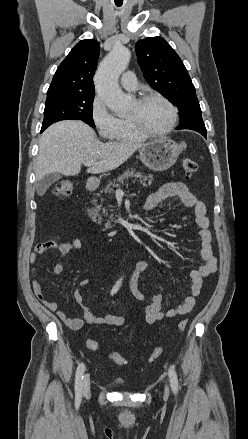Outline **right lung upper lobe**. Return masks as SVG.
Wrapping results in <instances>:
<instances>
[{
	"mask_svg": "<svg viewBox=\"0 0 248 439\" xmlns=\"http://www.w3.org/2000/svg\"><path fill=\"white\" fill-rule=\"evenodd\" d=\"M96 40H82L63 60L53 77L47 96L61 93L93 92V74L99 56Z\"/></svg>",
	"mask_w": 248,
	"mask_h": 439,
	"instance_id": "cb5924a9",
	"label": "right lung upper lobe"
}]
</instances>
